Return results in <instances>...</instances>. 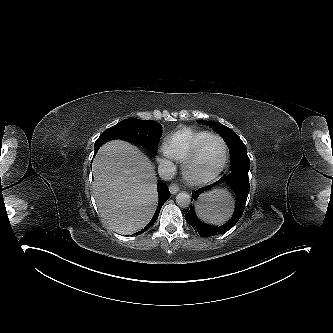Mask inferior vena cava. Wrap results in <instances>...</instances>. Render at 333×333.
I'll list each match as a JSON object with an SVG mask.
<instances>
[{
  "mask_svg": "<svg viewBox=\"0 0 333 333\" xmlns=\"http://www.w3.org/2000/svg\"><path fill=\"white\" fill-rule=\"evenodd\" d=\"M176 173V167L173 162L167 159H161L158 165V174L163 180H171Z\"/></svg>",
  "mask_w": 333,
  "mask_h": 333,
  "instance_id": "1",
  "label": "inferior vena cava"
}]
</instances>
